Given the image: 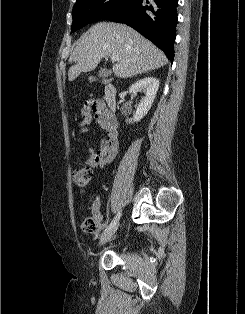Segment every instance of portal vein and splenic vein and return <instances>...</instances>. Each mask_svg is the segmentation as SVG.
<instances>
[{
	"instance_id": "18ae733b",
	"label": "portal vein and splenic vein",
	"mask_w": 245,
	"mask_h": 314,
	"mask_svg": "<svg viewBox=\"0 0 245 314\" xmlns=\"http://www.w3.org/2000/svg\"><path fill=\"white\" fill-rule=\"evenodd\" d=\"M111 60H112V62H115L118 60V57L117 56H111Z\"/></svg>"
}]
</instances>
